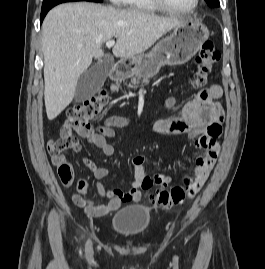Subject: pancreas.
<instances>
[{
  "mask_svg": "<svg viewBox=\"0 0 265 269\" xmlns=\"http://www.w3.org/2000/svg\"><path fill=\"white\" fill-rule=\"evenodd\" d=\"M140 80H141V77L140 76L134 75V77H132L131 80H130L129 86L130 87H133V86L139 84L140 83ZM115 89H117V87H115Z\"/></svg>",
  "mask_w": 265,
  "mask_h": 269,
  "instance_id": "pancreas-1",
  "label": "pancreas"
}]
</instances>
